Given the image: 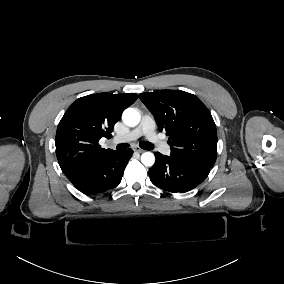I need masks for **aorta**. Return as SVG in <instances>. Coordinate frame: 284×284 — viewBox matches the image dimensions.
Returning a JSON list of instances; mask_svg holds the SVG:
<instances>
[{
	"instance_id": "aorta-1",
	"label": "aorta",
	"mask_w": 284,
	"mask_h": 284,
	"mask_svg": "<svg viewBox=\"0 0 284 284\" xmlns=\"http://www.w3.org/2000/svg\"><path fill=\"white\" fill-rule=\"evenodd\" d=\"M122 120L125 125L135 127L141 120V115L136 108H127L122 114ZM141 162L144 166L151 167L155 163V156L152 152H144L141 155Z\"/></svg>"
}]
</instances>
